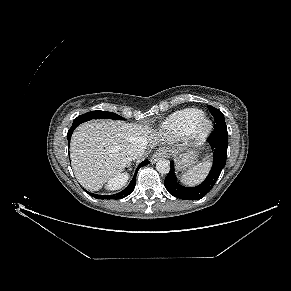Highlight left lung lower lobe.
<instances>
[{
    "label": "left lung lower lobe",
    "instance_id": "obj_1",
    "mask_svg": "<svg viewBox=\"0 0 291 291\" xmlns=\"http://www.w3.org/2000/svg\"><path fill=\"white\" fill-rule=\"evenodd\" d=\"M208 142L214 149V153L213 164L206 179L198 186L184 187L177 182L174 174V165L171 163L170 172L164 181L165 188L170 194L177 198L185 194L190 197L187 200H198L203 198L213 188L226 163L227 127L215 126V130L209 136Z\"/></svg>",
    "mask_w": 291,
    "mask_h": 291
}]
</instances>
